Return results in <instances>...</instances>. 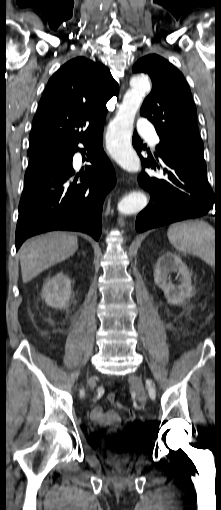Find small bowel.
Returning a JSON list of instances; mask_svg holds the SVG:
<instances>
[{"label": "small bowel", "mask_w": 221, "mask_h": 510, "mask_svg": "<svg viewBox=\"0 0 221 510\" xmlns=\"http://www.w3.org/2000/svg\"><path fill=\"white\" fill-rule=\"evenodd\" d=\"M122 408L120 404L119 409ZM90 417L93 422L103 426H116L121 422L118 412L109 410L105 411L102 406H95L91 409Z\"/></svg>", "instance_id": "obj_1"}]
</instances>
